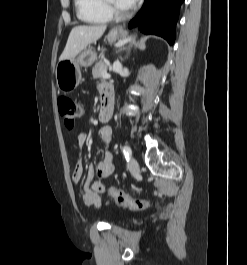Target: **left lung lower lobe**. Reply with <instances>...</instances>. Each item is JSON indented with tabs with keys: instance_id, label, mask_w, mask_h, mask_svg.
I'll use <instances>...</instances> for the list:
<instances>
[{
	"instance_id": "1",
	"label": "left lung lower lobe",
	"mask_w": 247,
	"mask_h": 265,
	"mask_svg": "<svg viewBox=\"0 0 247 265\" xmlns=\"http://www.w3.org/2000/svg\"><path fill=\"white\" fill-rule=\"evenodd\" d=\"M184 0H146L140 13L134 18L129 27L140 25V30L146 34H156L168 41L170 45L175 40L176 23L180 6Z\"/></svg>"
}]
</instances>
